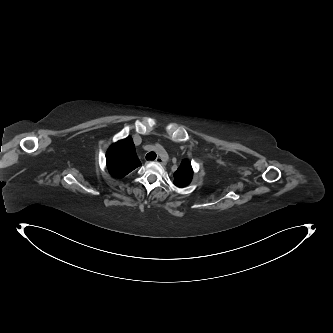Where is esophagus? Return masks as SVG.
Returning a JSON list of instances; mask_svg holds the SVG:
<instances>
[{"instance_id":"obj_1","label":"esophagus","mask_w":333,"mask_h":333,"mask_svg":"<svg viewBox=\"0 0 333 333\" xmlns=\"http://www.w3.org/2000/svg\"><path fill=\"white\" fill-rule=\"evenodd\" d=\"M156 162H157V163H160V164H163V165L166 164V160L163 159L162 157H157V158H156Z\"/></svg>"}]
</instances>
